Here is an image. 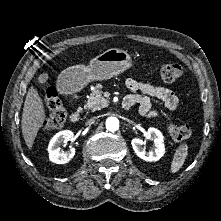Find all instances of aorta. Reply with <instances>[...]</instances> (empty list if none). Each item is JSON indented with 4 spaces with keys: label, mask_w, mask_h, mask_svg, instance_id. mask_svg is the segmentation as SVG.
I'll use <instances>...</instances> for the list:
<instances>
[{
    "label": "aorta",
    "mask_w": 221,
    "mask_h": 221,
    "mask_svg": "<svg viewBox=\"0 0 221 221\" xmlns=\"http://www.w3.org/2000/svg\"><path fill=\"white\" fill-rule=\"evenodd\" d=\"M105 125L108 131L115 132L119 129V120L116 117H108Z\"/></svg>",
    "instance_id": "762f6f07"
}]
</instances>
